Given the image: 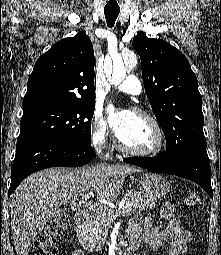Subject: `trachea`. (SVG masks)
Listing matches in <instances>:
<instances>
[{
	"label": "trachea",
	"mask_w": 221,
	"mask_h": 255,
	"mask_svg": "<svg viewBox=\"0 0 221 255\" xmlns=\"http://www.w3.org/2000/svg\"><path fill=\"white\" fill-rule=\"evenodd\" d=\"M119 12H120V9H117V8H112V9L105 8L104 9L105 18H106L108 27L112 28L114 26L115 21L119 15Z\"/></svg>",
	"instance_id": "obj_1"
}]
</instances>
